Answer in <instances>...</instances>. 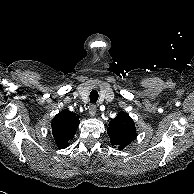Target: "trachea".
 Instances as JSON below:
<instances>
[{
	"mask_svg": "<svg viewBox=\"0 0 194 194\" xmlns=\"http://www.w3.org/2000/svg\"><path fill=\"white\" fill-rule=\"evenodd\" d=\"M99 94L97 92V90H92L90 92V102L91 103H96L98 100Z\"/></svg>",
	"mask_w": 194,
	"mask_h": 194,
	"instance_id": "obj_1",
	"label": "trachea"
}]
</instances>
